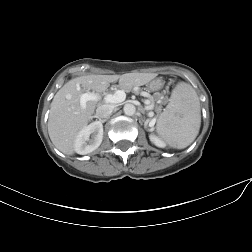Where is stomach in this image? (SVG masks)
Listing matches in <instances>:
<instances>
[{"label":"stomach","mask_w":252,"mask_h":252,"mask_svg":"<svg viewBox=\"0 0 252 252\" xmlns=\"http://www.w3.org/2000/svg\"><path fill=\"white\" fill-rule=\"evenodd\" d=\"M163 87V81L161 79H155L150 82L149 90L150 91H157Z\"/></svg>","instance_id":"0dacf381"}]
</instances>
